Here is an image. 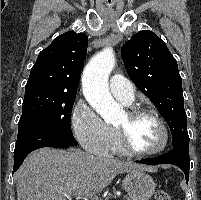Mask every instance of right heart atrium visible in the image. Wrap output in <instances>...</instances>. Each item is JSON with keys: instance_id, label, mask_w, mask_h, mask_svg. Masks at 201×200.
Wrapping results in <instances>:
<instances>
[{"instance_id": "obj_1", "label": "right heart atrium", "mask_w": 201, "mask_h": 200, "mask_svg": "<svg viewBox=\"0 0 201 200\" xmlns=\"http://www.w3.org/2000/svg\"><path fill=\"white\" fill-rule=\"evenodd\" d=\"M71 125L76 139L86 151L95 155L107 154L113 135L112 128L88 103L80 101L76 104L72 111Z\"/></svg>"}]
</instances>
